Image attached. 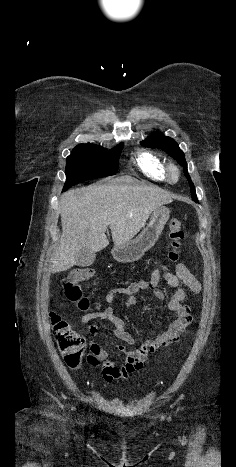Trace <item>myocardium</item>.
<instances>
[{
  "label": "myocardium",
  "instance_id": "1",
  "mask_svg": "<svg viewBox=\"0 0 236 467\" xmlns=\"http://www.w3.org/2000/svg\"><path fill=\"white\" fill-rule=\"evenodd\" d=\"M166 172H167V176L169 177L171 181L173 182L178 181L179 176H180V171H179V168L175 164H169L166 169Z\"/></svg>",
  "mask_w": 236,
  "mask_h": 467
}]
</instances>
